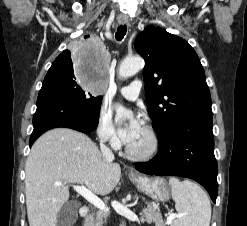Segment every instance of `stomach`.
I'll return each mask as SVG.
<instances>
[{
	"instance_id": "obj_1",
	"label": "stomach",
	"mask_w": 247,
	"mask_h": 226,
	"mask_svg": "<svg viewBox=\"0 0 247 226\" xmlns=\"http://www.w3.org/2000/svg\"><path fill=\"white\" fill-rule=\"evenodd\" d=\"M132 183L143 193L157 201H166L170 197V190L162 178H149L144 176L132 177Z\"/></svg>"
}]
</instances>
